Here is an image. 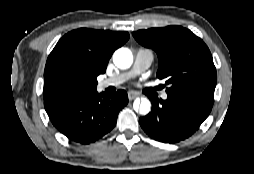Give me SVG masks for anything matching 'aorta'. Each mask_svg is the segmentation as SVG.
<instances>
[{"mask_svg":"<svg viewBox=\"0 0 254 174\" xmlns=\"http://www.w3.org/2000/svg\"><path fill=\"white\" fill-rule=\"evenodd\" d=\"M113 62L118 68L127 69L133 63V54L128 48H120L113 54ZM134 109L141 115H147L151 111V102L147 98L136 100Z\"/></svg>","mask_w":254,"mask_h":174,"instance_id":"762f6f07","label":"aorta"}]
</instances>
